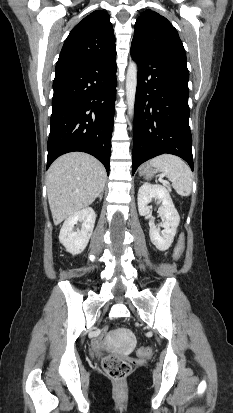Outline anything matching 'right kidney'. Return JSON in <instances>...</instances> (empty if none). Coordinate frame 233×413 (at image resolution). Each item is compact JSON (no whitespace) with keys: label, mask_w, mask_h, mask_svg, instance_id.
Masks as SVG:
<instances>
[{"label":"right kidney","mask_w":233,"mask_h":413,"mask_svg":"<svg viewBox=\"0 0 233 413\" xmlns=\"http://www.w3.org/2000/svg\"><path fill=\"white\" fill-rule=\"evenodd\" d=\"M96 214L91 207L83 208L69 216L60 230L59 241L72 255L80 254L86 248L92 235ZM82 223L81 230L74 231L77 222Z\"/></svg>","instance_id":"ca27d5eb"}]
</instances>
